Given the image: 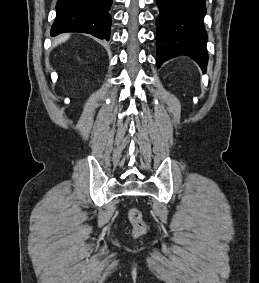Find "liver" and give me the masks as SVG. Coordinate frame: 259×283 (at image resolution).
I'll use <instances>...</instances> for the list:
<instances>
[{"mask_svg": "<svg viewBox=\"0 0 259 283\" xmlns=\"http://www.w3.org/2000/svg\"><path fill=\"white\" fill-rule=\"evenodd\" d=\"M68 39H69V35L68 34L62 35V36L58 37L57 39H55V41L53 43V46L55 47L58 44L63 43V42H65Z\"/></svg>", "mask_w": 259, "mask_h": 283, "instance_id": "obj_1", "label": "liver"}]
</instances>
